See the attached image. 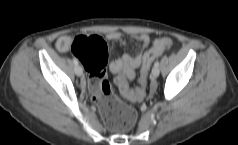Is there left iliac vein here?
<instances>
[{
    "label": "left iliac vein",
    "mask_w": 238,
    "mask_h": 145,
    "mask_svg": "<svg viewBox=\"0 0 238 145\" xmlns=\"http://www.w3.org/2000/svg\"><path fill=\"white\" fill-rule=\"evenodd\" d=\"M160 70L158 66H154L152 68V72H151V77L152 78H157L159 76Z\"/></svg>",
    "instance_id": "1"
}]
</instances>
